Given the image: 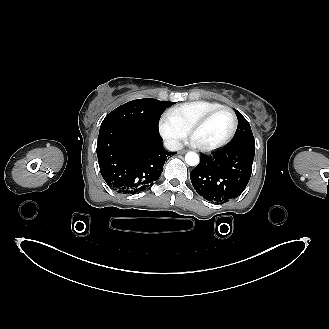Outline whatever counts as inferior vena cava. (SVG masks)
I'll return each mask as SVG.
<instances>
[{
    "label": "inferior vena cava",
    "instance_id": "inferior-vena-cava-1",
    "mask_svg": "<svg viewBox=\"0 0 329 329\" xmlns=\"http://www.w3.org/2000/svg\"><path fill=\"white\" fill-rule=\"evenodd\" d=\"M164 146L169 151H178L183 148V144L177 140H166L164 141Z\"/></svg>",
    "mask_w": 329,
    "mask_h": 329
}]
</instances>
